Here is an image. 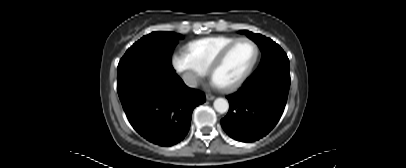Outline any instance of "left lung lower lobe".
I'll return each mask as SVG.
<instances>
[{
	"instance_id": "left-lung-lower-lobe-1",
	"label": "left lung lower lobe",
	"mask_w": 406,
	"mask_h": 168,
	"mask_svg": "<svg viewBox=\"0 0 406 168\" xmlns=\"http://www.w3.org/2000/svg\"><path fill=\"white\" fill-rule=\"evenodd\" d=\"M290 75L254 72L234 94L221 126L233 139L253 142L267 135L279 121L288 97Z\"/></svg>"
}]
</instances>
